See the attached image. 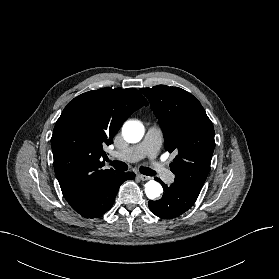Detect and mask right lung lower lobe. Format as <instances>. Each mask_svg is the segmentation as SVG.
Masks as SVG:
<instances>
[{
    "instance_id": "98d812e1",
    "label": "right lung lower lobe",
    "mask_w": 279,
    "mask_h": 279,
    "mask_svg": "<svg viewBox=\"0 0 279 279\" xmlns=\"http://www.w3.org/2000/svg\"><path fill=\"white\" fill-rule=\"evenodd\" d=\"M134 177L135 174L131 172L123 173L116 171L110 174L101 182L91 202L87 206L75 211L85 218H95L103 215L111 209L120 185Z\"/></svg>"
}]
</instances>
